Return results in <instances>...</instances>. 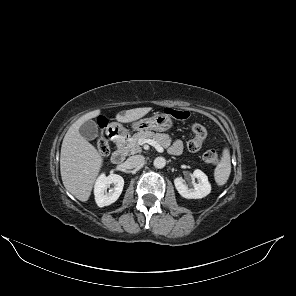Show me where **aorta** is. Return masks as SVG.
Instances as JSON below:
<instances>
[{
  "label": "aorta",
  "instance_id": "obj_1",
  "mask_svg": "<svg viewBox=\"0 0 296 296\" xmlns=\"http://www.w3.org/2000/svg\"><path fill=\"white\" fill-rule=\"evenodd\" d=\"M153 164L155 168L161 169L166 165V160L163 157H156Z\"/></svg>",
  "mask_w": 296,
  "mask_h": 296
}]
</instances>
